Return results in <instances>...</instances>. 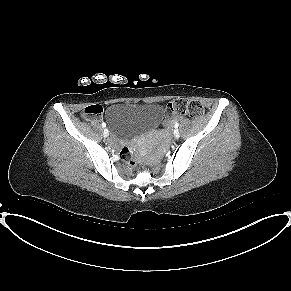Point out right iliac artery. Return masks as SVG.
<instances>
[{
	"label": "right iliac artery",
	"mask_w": 291,
	"mask_h": 291,
	"mask_svg": "<svg viewBox=\"0 0 291 291\" xmlns=\"http://www.w3.org/2000/svg\"><path fill=\"white\" fill-rule=\"evenodd\" d=\"M102 127H106V124L104 122L102 123Z\"/></svg>",
	"instance_id": "right-iliac-artery-1"
}]
</instances>
